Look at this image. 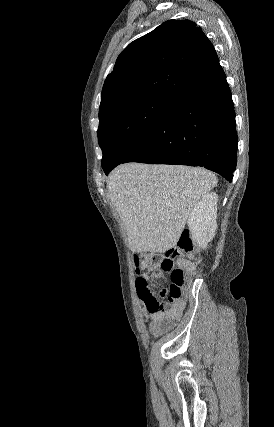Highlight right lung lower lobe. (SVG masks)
Here are the masks:
<instances>
[{
	"mask_svg": "<svg viewBox=\"0 0 274 427\" xmlns=\"http://www.w3.org/2000/svg\"><path fill=\"white\" fill-rule=\"evenodd\" d=\"M231 92L223 70L176 97L155 128L106 175L125 162L203 166L229 182L237 163Z\"/></svg>",
	"mask_w": 274,
	"mask_h": 427,
	"instance_id": "right-lung-lower-lobe-1",
	"label": "right lung lower lobe"
}]
</instances>
